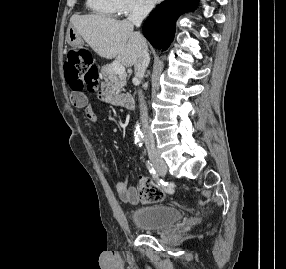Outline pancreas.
<instances>
[{"label": "pancreas", "mask_w": 286, "mask_h": 269, "mask_svg": "<svg viewBox=\"0 0 286 269\" xmlns=\"http://www.w3.org/2000/svg\"><path fill=\"white\" fill-rule=\"evenodd\" d=\"M101 73L104 78L102 94L110 103H116L122 97L121 92L124 91L127 75L116 73L113 64L104 65Z\"/></svg>", "instance_id": "obj_1"}]
</instances>
